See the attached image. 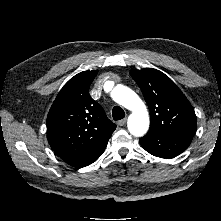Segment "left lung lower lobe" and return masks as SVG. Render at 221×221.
Returning a JSON list of instances; mask_svg holds the SVG:
<instances>
[{
	"label": "left lung lower lobe",
	"mask_w": 221,
	"mask_h": 221,
	"mask_svg": "<svg viewBox=\"0 0 221 221\" xmlns=\"http://www.w3.org/2000/svg\"><path fill=\"white\" fill-rule=\"evenodd\" d=\"M190 137H171L148 132L139 139L141 146L150 154L161 158H173L181 154L191 143Z\"/></svg>",
	"instance_id": "left-lung-lower-lobe-1"
}]
</instances>
